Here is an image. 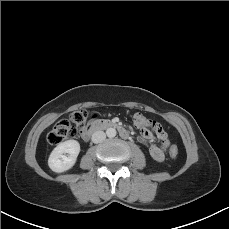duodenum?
Masks as SVG:
<instances>
[{
  "label": "duodenum",
  "mask_w": 229,
  "mask_h": 229,
  "mask_svg": "<svg viewBox=\"0 0 229 229\" xmlns=\"http://www.w3.org/2000/svg\"><path fill=\"white\" fill-rule=\"evenodd\" d=\"M104 128L117 129L123 138L125 139L129 138V134L125 127L119 125L116 122L104 121V120H96L90 123L84 132V136L86 138H89L93 133Z\"/></svg>",
  "instance_id": "duodenum-1"
}]
</instances>
